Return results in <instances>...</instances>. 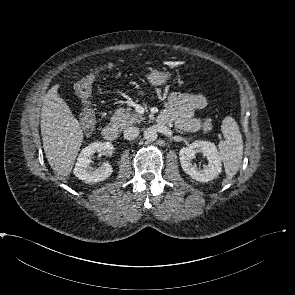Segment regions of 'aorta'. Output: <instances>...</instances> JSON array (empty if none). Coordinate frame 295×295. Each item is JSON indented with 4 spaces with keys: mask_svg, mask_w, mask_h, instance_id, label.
<instances>
[{
    "mask_svg": "<svg viewBox=\"0 0 295 295\" xmlns=\"http://www.w3.org/2000/svg\"><path fill=\"white\" fill-rule=\"evenodd\" d=\"M144 138L148 141V142H153L157 139V131L155 128L153 127H148L145 129L144 131Z\"/></svg>",
    "mask_w": 295,
    "mask_h": 295,
    "instance_id": "1",
    "label": "aorta"
}]
</instances>
